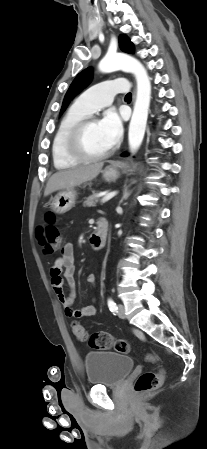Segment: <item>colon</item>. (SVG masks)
I'll use <instances>...</instances> for the list:
<instances>
[{"mask_svg": "<svg viewBox=\"0 0 207 449\" xmlns=\"http://www.w3.org/2000/svg\"><path fill=\"white\" fill-rule=\"evenodd\" d=\"M48 223L41 225L37 230V237L44 254L53 255L58 251L62 243V236L59 229L52 223L53 215H48ZM72 332L74 336L81 341H88L89 345L94 349H114L118 353L128 354L131 346L124 339H116L107 332H95L88 335L85 328L78 322L72 324ZM146 360L150 363H157L158 359L147 354ZM163 370L145 371L137 378L135 382V391L139 394L149 393L156 390L161 383Z\"/></svg>", "mask_w": 207, "mask_h": 449, "instance_id": "5ec220e1", "label": "colon"}]
</instances>
